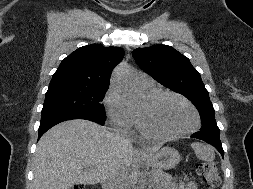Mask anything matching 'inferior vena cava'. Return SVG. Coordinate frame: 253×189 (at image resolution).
Returning <instances> with one entry per match:
<instances>
[{
  "instance_id": "602c4592",
  "label": "inferior vena cava",
  "mask_w": 253,
  "mask_h": 189,
  "mask_svg": "<svg viewBox=\"0 0 253 189\" xmlns=\"http://www.w3.org/2000/svg\"><path fill=\"white\" fill-rule=\"evenodd\" d=\"M123 144L127 147L132 146L131 142L122 137L119 136ZM127 181H128V171L127 169H115L109 174L108 183H107V189H126L127 187Z\"/></svg>"
}]
</instances>
